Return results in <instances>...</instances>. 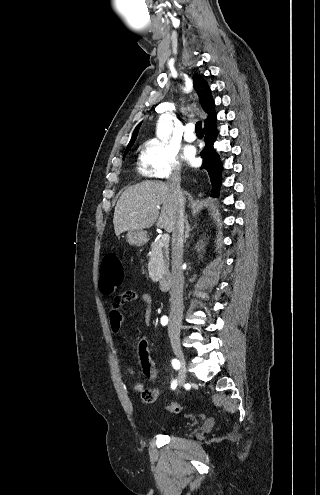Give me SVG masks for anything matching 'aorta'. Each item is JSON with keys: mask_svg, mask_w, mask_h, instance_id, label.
Instances as JSON below:
<instances>
[{"mask_svg": "<svg viewBox=\"0 0 320 495\" xmlns=\"http://www.w3.org/2000/svg\"><path fill=\"white\" fill-rule=\"evenodd\" d=\"M172 119L171 114H162L159 117L156 126V134L160 140L167 141L171 136L173 130Z\"/></svg>", "mask_w": 320, "mask_h": 495, "instance_id": "762f6f07", "label": "aorta"}]
</instances>
